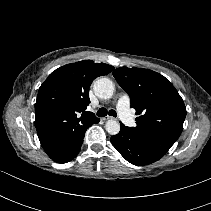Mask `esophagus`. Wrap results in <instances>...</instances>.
Wrapping results in <instances>:
<instances>
[{
    "instance_id": "esophagus-1",
    "label": "esophagus",
    "mask_w": 211,
    "mask_h": 211,
    "mask_svg": "<svg viewBox=\"0 0 211 211\" xmlns=\"http://www.w3.org/2000/svg\"><path fill=\"white\" fill-rule=\"evenodd\" d=\"M112 119H114V118L111 116H107V117L103 118V120H112Z\"/></svg>"
}]
</instances>
